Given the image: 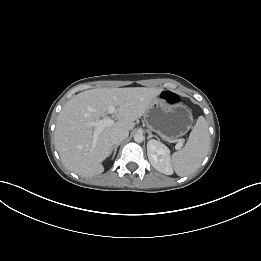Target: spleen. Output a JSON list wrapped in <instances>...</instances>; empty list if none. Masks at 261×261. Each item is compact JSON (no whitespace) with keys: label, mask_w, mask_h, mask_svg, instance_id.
Masks as SVG:
<instances>
[{"label":"spleen","mask_w":261,"mask_h":261,"mask_svg":"<svg viewBox=\"0 0 261 261\" xmlns=\"http://www.w3.org/2000/svg\"><path fill=\"white\" fill-rule=\"evenodd\" d=\"M209 147L208 124L205 118L200 116L184 148L172 155L171 164L175 173L178 176L194 173L200 167Z\"/></svg>","instance_id":"spleen-1"}]
</instances>
